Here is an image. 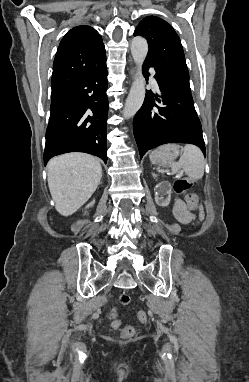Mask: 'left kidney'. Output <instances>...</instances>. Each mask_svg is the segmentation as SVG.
Here are the masks:
<instances>
[{
	"label": "left kidney",
	"instance_id": "obj_1",
	"mask_svg": "<svg viewBox=\"0 0 249 382\" xmlns=\"http://www.w3.org/2000/svg\"><path fill=\"white\" fill-rule=\"evenodd\" d=\"M155 196L152 197V202L165 207L168 206L171 199V185L167 181H163L156 185Z\"/></svg>",
	"mask_w": 249,
	"mask_h": 382
}]
</instances>
